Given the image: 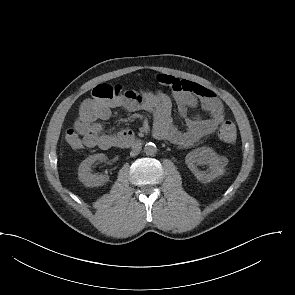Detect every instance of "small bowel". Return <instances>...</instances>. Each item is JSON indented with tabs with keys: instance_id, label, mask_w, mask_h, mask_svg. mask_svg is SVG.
<instances>
[{
	"instance_id": "c3829d8e",
	"label": "small bowel",
	"mask_w": 295,
	"mask_h": 295,
	"mask_svg": "<svg viewBox=\"0 0 295 295\" xmlns=\"http://www.w3.org/2000/svg\"><path fill=\"white\" fill-rule=\"evenodd\" d=\"M157 80L161 85L172 90L173 100L177 104L179 114L185 120V130H180L174 124L172 100L164 92L159 90L126 91L110 102L94 104L90 110L81 109L74 126L66 132V141L69 146L75 150L83 147H97L102 150L115 147V141L121 134L131 132L124 130L118 134L105 133L100 121L108 120L112 109L119 107L129 111L151 112L154 116V136L182 148L196 145L204 137L214 133L224 122L222 104L210 89L168 74H159ZM199 102L209 116L189 118L188 110L196 107Z\"/></svg>"
}]
</instances>
